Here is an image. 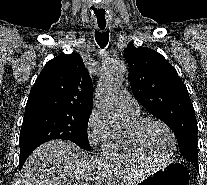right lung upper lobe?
Segmentation results:
<instances>
[{
  "instance_id": "right-lung-upper-lobe-1",
  "label": "right lung upper lobe",
  "mask_w": 207,
  "mask_h": 185,
  "mask_svg": "<svg viewBox=\"0 0 207 185\" xmlns=\"http://www.w3.org/2000/svg\"><path fill=\"white\" fill-rule=\"evenodd\" d=\"M92 80L78 53L48 61L30 91L25 113L35 111L90 115Z\"/></svg>"
}]
</instances>
